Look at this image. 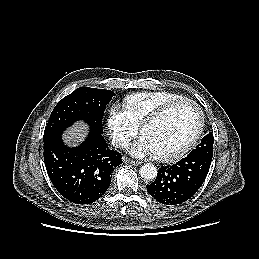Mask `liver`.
I'll list each match as a JSON object with an SVG mask.
<instances>
[{"label":"liver","mask_w":259,"mask_h":259,"mask_svg":"<svg viewBox=\"0 0 259 259\" xmlns=\"http://www.w3.org/2000/svg\"><path fill=\"white\" fill-rule=\"evenodd\" d=\"M86 127L83 124H79L74 128H71L69 132L64 134V139L69 144H75L79 140H83Z\"/></svg>","instance_id":"liver-1"}]
</instances>
